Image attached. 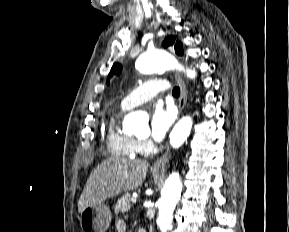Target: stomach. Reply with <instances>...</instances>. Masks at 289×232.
<instances>
[{"instance_id":"0dacf381","label":"stomach","mask_w":289,"mask_h":232,"mask_svg":"<svg viewBox=\"0 0 289 232\" xmlns=\"http://www.w3.org/2000/svg\"><path fill=\"white\" fill-rule=\"evenodd\" d=\"M111 211L104 203H95L80 213V226L83 232H105L111 222Z\"/></svg>"}]
</instances>
